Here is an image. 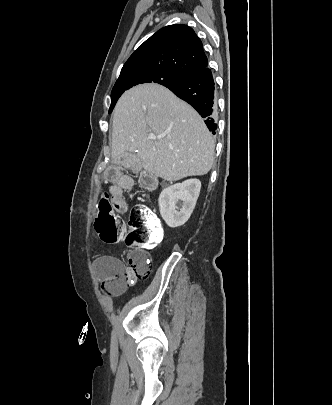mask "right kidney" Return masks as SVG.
Wrapping results in <instances>:
<instances>
[{"label":"right kidney","instance_id":"right-kidney-1","mask_svg":"<svg viewBox=\"0 0 332 405\" xmlns=\"http://www.w3.org/2000/svg\"><path fill=\"white\" fill-rule=\"evenodd\" d=\"M200 189V180L189 179L162 190L158 200L159 210L169 227L176 228L188 221L195 208ZM179 201L182 203L178 209L177 203Z\"/></svg>","mask_w":332,"mask_h":405}]
</instances>
